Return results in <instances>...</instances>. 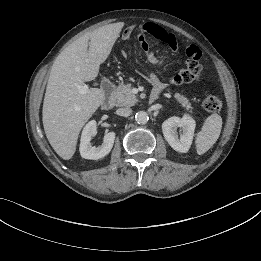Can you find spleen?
<instances>
[{"label":"spleen","instance_id":"spleen-1","mask_svg":"<svg viewBox=\"0 0 261 261\" xmlns=\"http://www.w3.org/2000/svg\"><path fill=\"white\" fill-rule=\"evenodd\" d=\"M222 129V118L218 114L210 115L204 122L202 130L196 136L198 155L206 153L218 140Z\"/></svg>","mask_w":261,"mask_h":261}]
</instances>
